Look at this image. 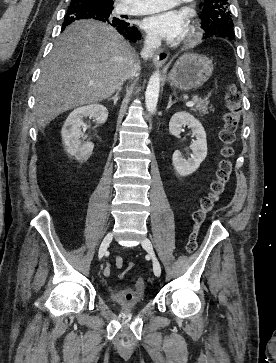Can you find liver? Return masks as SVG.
I'll use <instances>...</instances> for the list:
<instances>
[{"instance_id": "obj_1", "label": "liver", "mask_w": 276, "mask_h": 363, "mask_svg": "<svg viewBox=\"0 0 276 363\" xmlns=\"http://www.w3.org/2000/svg\"><path fill=\"white\" fill-rule=\"evenodd\" d=\"M135 52L112 26L80 20L58 37L36 84L35 117L45 127L61 113L96 103L121 89Z\"/></svg>"}]
</instances>
